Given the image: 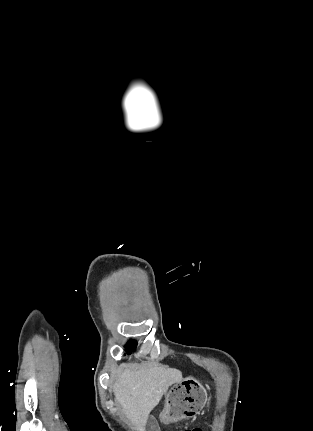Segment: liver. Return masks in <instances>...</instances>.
<instances>
[{
    "label": "liver",
    "instance_id": "6515ba94",
    "mask_svg": "<svg viewBox=\"0 0 313 431\" xmlns=\"http://www.w3.org/2000/svg\"><path fill=\"white\" fill-rule=\"evenodd\" d=\"M115 400L137 431H144L150 412L158 405L169 386L183 380L181 371L165 366L125 368L112 371Z\"/></svg>",
    "mask_w": 313,
    "mask_h": 431
}]
</instances>
